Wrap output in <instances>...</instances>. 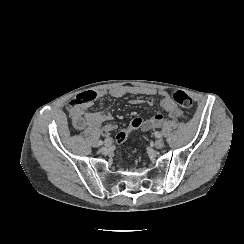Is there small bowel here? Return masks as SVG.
I'll return each mask as SVG.
<instances>
[{
	"mask_svg": "<svg viewBox=\"0 0 244 244\" xmlns=\"http://www.w3.org/2000/svg\"><path fill=\"white\" fill-rule=\"evenodd\" d=\"M96 94L97 97L110 96L113 98H120L126 95H147V96H158L160 101L159 104L161 108L167 113L168 117L171 119L180 118L183 116V111L172 101L170 95L165 90H158L155 88H143V87H132V86H122L113 87L109 90H100ZM134 103H140L148 106L154 104V99L148 97L144 100H133ZM81 107L86 114L88 120V127L90 129H98L101 127L103 133H111L116 130V125L111 123V114L108 111H87L89 105L78 106ZM165 122L162 115H155L148 119H143L142 126L139 129L148 131L160 127ZM138 130V129H137Z\"/></svg>",
	"mask_w": 244,
	"mask_h": 244,
	"instance_id": "c3829d8e",
	"label": "small bowel"
}]
</instances>
